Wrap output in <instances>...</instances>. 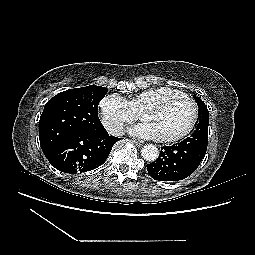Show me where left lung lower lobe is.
Returning a JSON list of instances; mask_svg holds the SVG:
<instances>
[{
	"mask_svg": "<svg viewBox=\"0 0 255 255\" xmlns=\"http://www.w3.org/2000/svg\"><path fill=\"white\" fill-rule=\"evenodd\" d=\"M208 144V126L196 128L183 141L161 148L158 159L147 164L148 174L158 181H179L190 176L203 160Z\"/></svg>",
	"mask_w": 255,
	"mask_h": 255,
	"instance_id": "1",
	"label": "left lung lower lobe"
}]
</instances>
